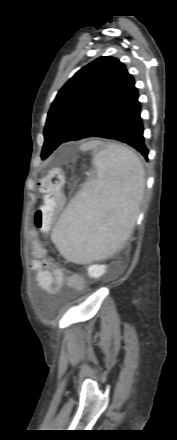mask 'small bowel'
I'll list each match as a JSON object with an SVG mask.
<instances>
[{
    "mask_svg": "<svg viewBox=\"0 0 177 440\" xmlns=\"http://www.w3.org/2000/svg\"><path fill=\"white\" fill-rule=\"evenodd\" d=\"M34 259L31 261V268L35 272V280L42 290L55 294L61 290V288L68 284L70 287L77 291H83L85 284L84 281L77 277L74 282H70V276L67 280L63 269L47 255L46 249L38 242L34 244L33 249Z\"/></svg>",
    "mask_w": 177,
    "mask_h": 440,
    "instance_id": "small-bowel-1",
    "label": "small bowel"
}]
</instances>
